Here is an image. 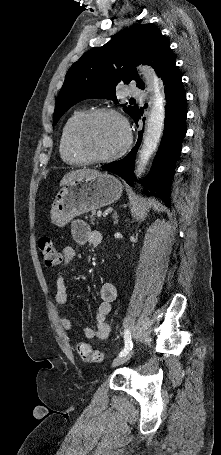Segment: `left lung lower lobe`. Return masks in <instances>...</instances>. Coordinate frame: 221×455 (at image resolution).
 <instances>
[{"label":"left lung lower lobe","instance_id":"0a47b994","mask_svg":"<svg viewBox=\"0 0 221 455\" xmlns=\"http://www.w3.org/2000/svg\"><path fill=\"white\" fill-rule=\"evenodd\" d=\"M166 97L165 126L159 150L153 161L150 173L140 183L149 192L147 195L158 196L170 207V187L175 174L176 161L181 153L182 139L186 134V93L182 83V74L174 64L161 77ZM142 111L134 116L137 124ZM145 118H143V121ZM142 140V132L138 134L135 147L123 159L103 165L102 168L122 177L133 186L134 160Z\"/></svg>","mask_w":221,"mask_h":455}]
</instances>
